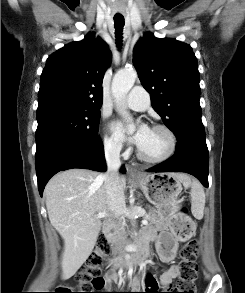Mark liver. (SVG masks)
<instances>
[{
  "mask_svg": "<svg viewBox=\"0 0 245 293\" xmlns=\"http://www.w3.org/2000/svg\"><path fill=\"white\" fill-rule=\"evenodd\" d=\"M185 185L189 177L175 174ZM124 193L126 178L119 177ZM44 196L51 225L64 240L62 279L71 278L92 253L101 220L97 213H113L109 206L104 175L85 169H69L55 175L45 187Z\"/></svg>",
  "mask_w": 245,
  "mask_h": 293,
  "instance_id": "6515ba94",
  "label": "liver"
}]
</instances>
